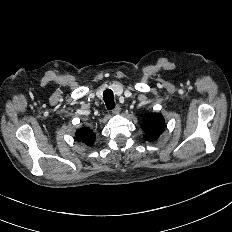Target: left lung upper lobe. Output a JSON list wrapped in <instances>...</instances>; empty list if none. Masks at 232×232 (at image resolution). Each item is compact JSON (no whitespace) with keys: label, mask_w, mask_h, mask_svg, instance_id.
Here are the masks:
<instances>
[{"label":"left lung upper lobe","mask_w":232,"mask_h":232,"mask_svg":"<svg viewBox=\"0 0 232 232\" xmlns=\"http://www.w3.org/2000/svg\"><path fill=\"white\" fill-rule=\"evenodd\" d=\"M141 128L145 131L144 138L147 141L156 140L164 131L165 120L159 113L145 114Z\"/></svg>","instance_id":"5c2ea615"}]
</instances>
